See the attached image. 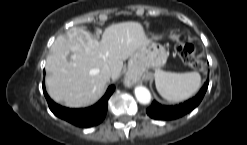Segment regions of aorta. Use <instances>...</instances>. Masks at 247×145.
Here are the masks:
<instances>
[{
    "label": "aorta",
    "mask_w": 247,
    "mask_h": 145,
    "mask_svg": "<svg viewBox=\"0 0 247 145\" xmlns=\"http://www.w3.org/2000/svg\"><path fill=\"white\" fill-rule=\"evenodd\" d=\"M135 96L136 99L139 103L141 104H149L151 101V94L149 92V90L144 87V86H137L135 87Z\"/></svg>",
    "instance_id": "aorta-1"
}]
</instances>
